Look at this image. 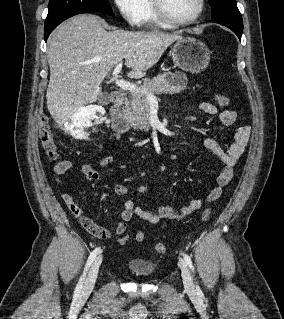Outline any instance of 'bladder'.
<instances>
[{
  "label": "bladder",
  "instance_id": "31cf9c89",
  "mask_svg": "<svg viewBox=\"0 0 284 319\" xmlns=\"http://www.w3.org/2000/svg\"><path fill=\"white\" fill-rule=\"evenodd\" d=\"M129 271L140 277H149L156 271V264L148 259L131 258L127 262Z\"/></svg>",
  "mask_w": 284,
  "mask_h": 319
}]
</instances>
